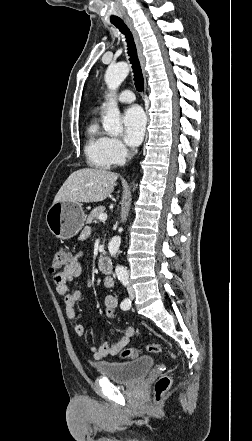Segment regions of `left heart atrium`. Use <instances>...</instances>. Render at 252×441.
Masks as SVG:
<instances>
[{"instance_id": "obj_1", "label": "left heart atrium", "mask_w": 252, "mask_h": 441, "mask_svg": "<svg viewBox=\"0 0 252 441\" xmlns=\"http://www.w3.org/2000/svg\"><path fill=\"white\" fill-rule=\"evenodd\" d=\"M124 140L130 147H136L143 139L146 128V116L139 106L129 107L122 118Z\"/></svg>"}]
</instances>
